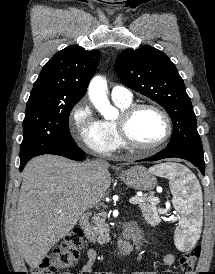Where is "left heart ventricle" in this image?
I'll use <instances>...</instances> for the list:
<instances>
[{"mask_svg":"<svg viewBox=\"0 0 215 274\" xmlns=\"http://www.w3.org/2000/svg\"><path fill=\"white\" fill-rule=\"evenodd\" d=\"M129 131L137 143L149 145L164 136L166 126L163 118L156 111L143 109L132 118Z\"/></svg>","mask_w":215,"mask_h":274,"instance_id":"b2bd125f","label":"left heart ventricle"}]
</instances>
